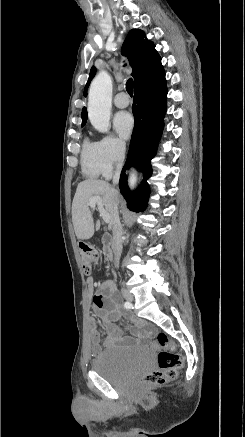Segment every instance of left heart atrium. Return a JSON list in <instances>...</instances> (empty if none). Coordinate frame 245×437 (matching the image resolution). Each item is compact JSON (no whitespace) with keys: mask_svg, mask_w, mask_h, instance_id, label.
Masks as SVG:
<instances>
[{"mask_svg":"<svg viewBox=\"0 0 245 437\" xmlns=\"http://www.w3.org/2000/svg\"><path fill=\"white\" fill-rule=\"evenodd\" d=\"M114 128L118 135L124 139L130 137L133 128H134V120L130 113L128 112H119L114 117Z\"/></svg>","mask_w":245,"mask_h":437,"instance_id":"39dd6f15","label":"left heart atrium"}]
</instances>
